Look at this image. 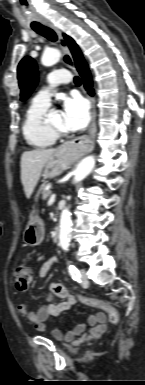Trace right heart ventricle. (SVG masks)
Instances as JSON below:
<instances>
[{
    "label": "right heart ventricle",
    "mask_w": 145,
    "mask_h": 385,
    "mask_svg": "<svg viewBox=\"0 0 145 385\" xmlns=\"http://www.w3.org/2000/svg\"><path fill=\"white\" fill-rule=\"evenodd\" d=\"M48 106L32 102L27 108L23 122L22 134L27 144L35 149H45L56 142L45 126Z\"/></svg>",
    "instance_id": "1"
}]
</instances>
